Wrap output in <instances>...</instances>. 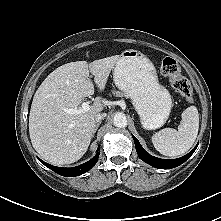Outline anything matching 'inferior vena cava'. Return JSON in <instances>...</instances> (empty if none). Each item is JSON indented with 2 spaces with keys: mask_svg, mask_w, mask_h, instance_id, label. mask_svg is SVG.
Here are the masks:
<instances>
[{
  "mask_svg": "<svg viewBox=\"0 0 221 221\" xmlns=\"http://www.w3.org/2000/svg\"><path fill=\"white\" fill-rule=\"evenodd\" d=\"M106 117V113H98L95 115V122H101Z\"/></svg>",
  "mask_w": 221,
  "mask_h": 221,
  "instance_id": "1",
  "label": "inferior vena cava"
}]
</instances>
